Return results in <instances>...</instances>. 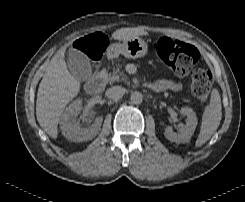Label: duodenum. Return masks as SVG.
I'll use <instances>...</instances> for the list:
<instances>
[{
    "mask_svg": "<svg viewBox=\"0 0 245 202\" xmlns=\"http://www.w3.org/2000/svg\"><path fill=\"white\" fill-rule=\"evenodd\" d=\"M107 82V75L100 71L97 75L86 84V91L90 95H97L101 92Z\"/></svg>",
    "mask_w": 245,
    "mask_h": 202,
    "instance_id": "obj_1",
    "label": "duodenum"
}]
</instances>
